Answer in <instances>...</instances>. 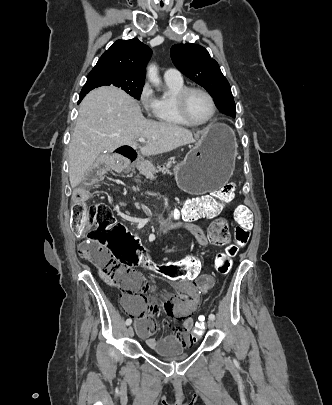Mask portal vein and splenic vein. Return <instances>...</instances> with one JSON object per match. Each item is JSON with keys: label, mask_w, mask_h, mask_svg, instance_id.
Listing matches in <instances>:
<instances>
[{"label": "portal vein and splenic vein", "mask_w": 332, "mask_h": 405, "mask_svg": "<svg viewBox=\"0 0 332 405\" xmlns=\"http://www.w3.org/2000/svg\"><path fill=\"white\" fill-rule=\"evenodd\" d=\"M138 141L141 142V143H145V142H146L145 138H142V137H139Z\"/></svg>", "instance_id": "obj_1"}]
</instances>
